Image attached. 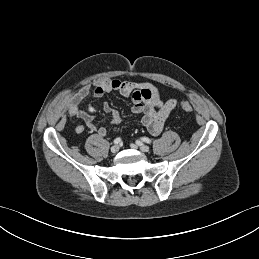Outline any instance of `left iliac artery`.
Listing matches in <instances>:
<instances>
[{
	"label": "left iliac artery",
	"instance_id": "44dca946",
	"mask_svg": "<svg viewBox=\"0 0 259 259\" xmlns=\"http://www.w3.org/2000/svg\"><path fill=\"white\" fill-rule=\"evenodd\" d=\"M141 140H142L143 142H146V143L151 144V140H150L149 138H147V137H142Z\"/></svg>",
	"mask_w": 259,
	"mask_h": 259
}]
</instances>
